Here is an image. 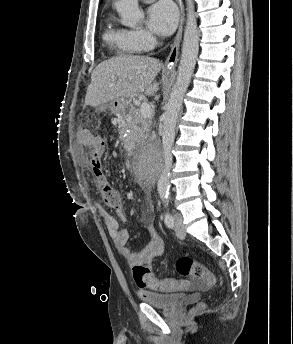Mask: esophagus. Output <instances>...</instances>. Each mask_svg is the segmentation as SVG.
Segmentation results:
<instances>
[{
  "label": "esophagus",
  "instance_id": "1",
  "mask_svg": "<svg viewBox=\"0 0 293 344\" xmlns=\"http://www.w3.org/2000/svg\"><path fill=\"white\" fill-rule=\"evenodd\" d=\"M178 4V9H179V27L177 34L175 36L174 42L171 46V51L167 57L166 60V67H173L176 65V63L179 60V48H180V42L182 38V31H183V22H184V7H183V2L182 0H176Z\"/></svg>",
  "mask_w": 293,
  "mask_h": 344
}]
</instances>
